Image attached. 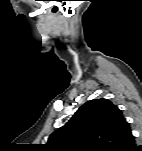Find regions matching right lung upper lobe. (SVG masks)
I'll return each instance as SVG.
<instances>
[{
    "mask_svg": "<svg viewBox=\"0 0 142 151\" xmlns=\"http://www.w3.org/2000/svg\"><path fill=\"white\" fill-rule=\"evenodd\" d=\"M133 142L121 110L107 99H94L53 132L46 147L50 151H124Z\"/></svg>",
    "mask_w": 142,
    "mask_h": 151,
    "instance_id": "right-lung-upper-lobe-1",
    "label": "right lung upper lobe"
}]
</instances>
